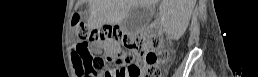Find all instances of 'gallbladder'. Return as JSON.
Instances as JSON below:
<instances>
[{
  "instance_id": "bac80fb5",
  "label": "gallbladder",
  "mask_w": 258,
  "mask_h": 77,
  "mask_svg": "<svg viewBox=\"0 0 258 77\" xmlns=\"http://www.w3.org/2000/svg\"><path fill=\"white\" fill-rule=\"evenodd\" d=\"M152 15L151 9L139 6L134 7L123 21V26L129 35H134L143 28L150 20Z\"/></svg>"
}]
</instances>
